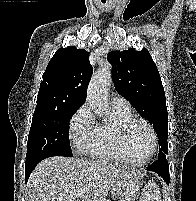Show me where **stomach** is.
Listing matches in <instances>:
<instances>
[{"instance_id":"0dacf381","label":"stomach","mask_w":196,"mask_h":201,"mask_svg":"<svg viewBox=\"0 0 196 201\" xmlns=\"http://www.w3.org/2000/svg\"><path fill=\"white\" fill-rule=\"evenodd\" d=\"M140 187L141 183L138 178L125 177L118 180L114 191L119 197V201H134Z\"/></svg>"}]
</instances>
